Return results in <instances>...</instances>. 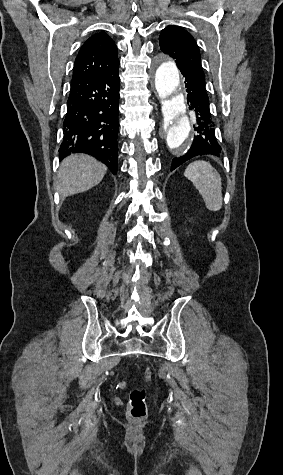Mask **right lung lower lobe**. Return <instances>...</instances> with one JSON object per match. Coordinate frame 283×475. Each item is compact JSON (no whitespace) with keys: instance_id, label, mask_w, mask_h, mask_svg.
Returning a JSON list of instances; mask_svg holds the SVG:
<instances>
[{"instance_id":"98d812e1","label":"right lung lower lobe","mask_w":283,"mask_h":475,"mask_svg":"<svg viewBox=\"0 0 283 475\" xmlns=\"http://www.w3.org/2000/svg\"><path fill=\"white\" fill-rule=\"evenodd\" d=\"M119 85L118 70L102 76L72 79L60 159L72 153H86L116 174Z\"/></svg>"}]
</instances>
